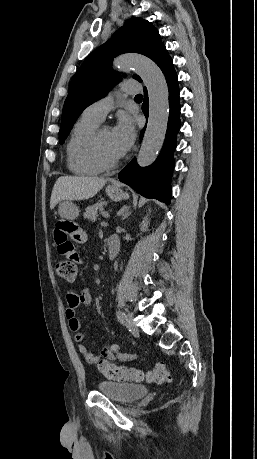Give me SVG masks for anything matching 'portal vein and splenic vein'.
Masks as SVG:
<instances>
[{
	"mask_svg": "<svg viewBox=\"0 0 257 459\" xmlns=\"http://www.w3.org/2000/svg\"><path fill=\"white\" fill-rule=\"evenodd\" d=\"M102 216H103L104 218H108V217H109V213H108V212H103V213H102Z\"/></svg>",
	"mask_w": 257,
	"mask_h": 459,
	"instance_id": "1",
	"label": "portal vein and splenic vein"
}]
</instances>
